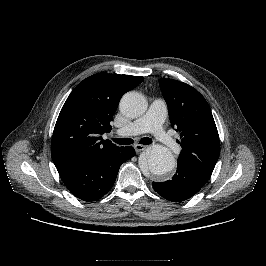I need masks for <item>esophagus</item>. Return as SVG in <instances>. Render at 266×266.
I'll use <instances>...</instances> for the list:
<instances>
[{
    "label": "esophagus",
    "mask_w": 266,
    "mask_h": 266,
    "mask_svg": "<svg viewBox=\"0 0 266 266\" xmlns=\"http://www.w3.org/2000/svg\"><path fill=\"white\" fill-rule=\"evenodd\" d=\"M134 149L136 150V152H140L146 149L145 145H141V144H136L134 145Z\"/></svg>",
    "instance_id": "1"
}]
</instances>
